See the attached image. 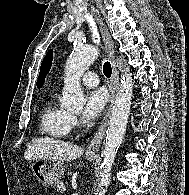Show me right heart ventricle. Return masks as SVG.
Here are the masks:
<instances>
[{"label":"right heart ventricle","mask_w":189,"mask_h":195,"mask_svg":"<svg viewBox=\"0 0 189 195\" xmlns=\"http://www.w3.org/2000/svg\"><path fill=\"white\" fill-rule=\"evenodd\" d=\"M70 116L53 95L49 96L40 114V133L52 138L66 137L70 130Z\"/></svg>","instance_id":"right-heart-ventricle-1"}]
</instances>
